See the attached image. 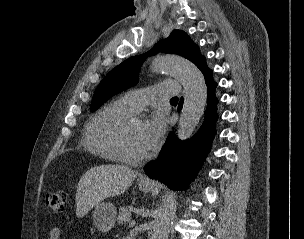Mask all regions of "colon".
<instances>
[{"instance_id":"1","label":"colon","mask_w":304,"mask_h":239,"mask_svg":"<svg viewBox=\"0 0 304 239\" xmlns=\"http://www.w3.org/2000/svg\"><path fill=\"white\" fill-rule=\"evenodd\" d=\"M67 200V195L63 191L50 192L45 195L46 205L55 213L62 212Z\"/></svg>"}]
</instances>
